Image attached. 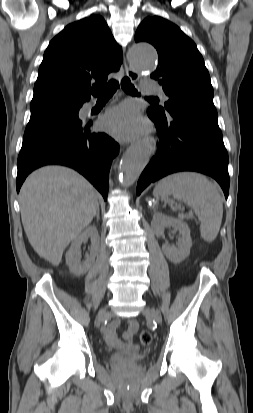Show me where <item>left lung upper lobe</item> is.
<instances>
[{"label": "left lung upper lobe", "mask_w": 253, "mask_h": 413, "mask_svg": "<svg viewBox=\"0 0 253 413\" xmlns=\"http://www.w3.org/2000/svg\"><path fill=\"white\" fill-rule=\"evenodd\" d=\"M135 41L149 42L157 49L159 65L151 78L158 80L169 97L166 110L153 106L150 113L164 118L177 111L217 116L203 57L178 26L159 16L147 17L139 25Z\"/></svg>", "instance_id": "left-lung-upper-lobe-1"}]
</instances>
